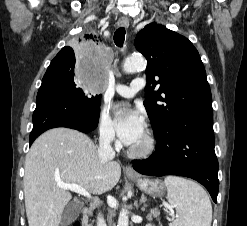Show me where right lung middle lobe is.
Instances as JSON below:
<instances>
[{
    "instance_id": "1",
    "label": "right lung middle lobe",
    "mask_w": 247,
    "mask_h": 226,
    "mask_svg": "<svg viewBox=\"0 0 247 226\" xmlns=\"http://www.w3.org/2000/svg\"><path fill=\"white\" fill-rule=\"evenodd\" d=\"M74 68L75 56L73 52V54L68 57H62L58 59L53 66L48 67L47 71L52 72L61 77L78 95H80L84 100H86L91 106L99 109L101 94L94 95L89 92H84L75 81Z\"/></svg>"
}]
</instances>
